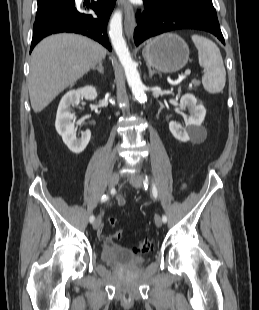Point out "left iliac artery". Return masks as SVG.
Returning <instances> with one entry per match:
<instances>
[{"instance_id":"1","label":"left iliac artery","mask_w":259,"mask_h":310,"mask_svg":"<svg viewBox=\"0 0 259 310\" xmlns=\"http://www.w3.org/2000/svg\"><path fill=\"white\" fill-rule=\"evenodd\" d=\"M143 183H144V186H145V187L148 186L149 178H148L147 176L145 177ZM152 195H153V197H154L155 199H156L157 196H158V191H157L156 185H155L153 182H152ZM162 221H163L164 223L167 222V217H166V215H163V216H162Z\"/></svg>"}]
</instances>
